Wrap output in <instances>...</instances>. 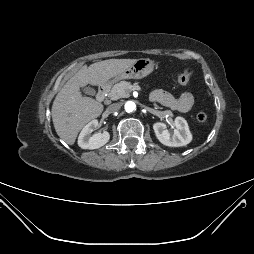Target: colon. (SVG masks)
Instances as JSON below:
<instances>
[{
  "label": "colon",
  "instance_id": "1",
  "mask_svg": "<svg viewBox=\"0 0 254 254\" xmlns=\"http://www.w3.org/2000/svg\"><path fill=\"white\" fill-rule=\"evenodd\" d=\"M193 76V70L191 68H185L178 76H177V83L180 85H186ZM196 119L203 123L207 120V115L204 112H199L196 115Z\"/></svg>",
  "mask_w": 254,
  "mask_h": 254
}]
</instances>
